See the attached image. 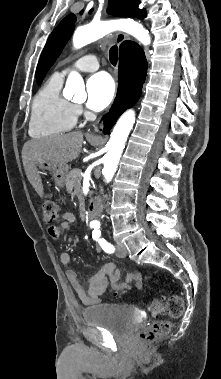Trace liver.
I'll list each match as a JSON object with an SVG mask.
<instances>
[{
  "mask_svg": "<svg viewBox=\"0 0 221 379\" xmlns=\"http://www.w3.org/2000/svg\"><path fill=\"white\" fill-rule=\"evenodd\" d=\"M83 142L81 132L51 136L27 141L22 149V159L28 180L40 197L43 185L37 171L39 160L67 164L79 157Z\"/></svg>",
  "mask_w": 221,
  "mask_h": 379,
  "instance_id": "1",
  "label": "liver"
}]
</instances>
